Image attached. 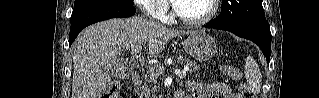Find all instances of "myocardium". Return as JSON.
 <instances>
[{
    "label": "myocardium",
    "mask_w": 319,
    "mask_h": 98,
    "mask_svg": "<svg viewBox=\"0 0 319 98\" xmlns=\"http://www.w3.org/2000/svg\"><path fill=\"white\" fill-rule=\"evenodd\" d=\"M219 0H209L210 9L209 11L202 17L197 19H189L182 16L177 9H174V16L183 24L190 26V27H198L207 24L210 22L214 16L217 14L219 8Z\"/></svg>",
    "instance_id": "myocardium-1"
}]
</instances>
